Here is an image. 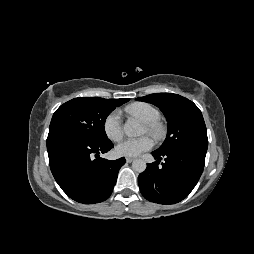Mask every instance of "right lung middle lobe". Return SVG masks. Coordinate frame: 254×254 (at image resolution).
<instances>
[{"mask_svg":"<svg viewBox=\"0 0 254 254\" xmlns=\"http://www.w3.org/2000/svg\"><path fill=\"white\" fill-rule=\"evenodd\" d=\"M116 107L110 99L75 98L55 111L49 129H63L95 142L108 141L104 124Z\"/></svg>","mask_w":254,"mask_h":254,"instance_id":"dd1d6c3e","label":"right lung middle lobe"}]
</instances>
